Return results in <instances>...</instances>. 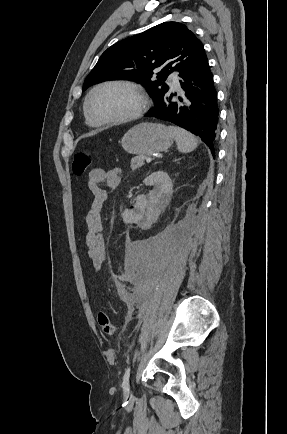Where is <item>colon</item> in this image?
Returning a JSON list of instances; mask_svg holds the SVG:
<instances>
[{"label":"colon","mask_w":287,"mask_h":434,"mask_svg":"<svg viewBox=\"0 0 287 434\" xmlns=\"http://www.w3.org/2000/svg\"><path fill=\"white\" fill-rule=\"evenodd\" d=\"M90 156L87 152L81 151L74 155L72 161V171L77 176H82L90 165ZM98 323L104 335L112 336L115 333V325L106 312H99Z\"/></svg>","instance_id":"1"}]
</instances>
